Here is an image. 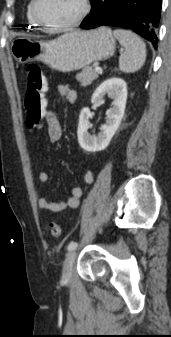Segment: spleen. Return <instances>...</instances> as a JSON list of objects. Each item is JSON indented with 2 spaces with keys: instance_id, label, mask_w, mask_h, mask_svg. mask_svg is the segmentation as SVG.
<instances>
[{
  "instance_id": "3e777b00",
  "label": "spleen",
  "mask_w": 171,
  "mask_h": 337,
  "mask_svg": "<svg viewBox=\"0 0 171 337\" xmlns=\"http://www.w3.org/2000/svg\"><path fill=\"white\" fill-rule=\"evenodd\" d=\"M114 36L124 47V52L119 57V68L124 73L138 71L146 60V45L143 40L131 31L117 29Z\"/></svg>"
}]
</instances>
